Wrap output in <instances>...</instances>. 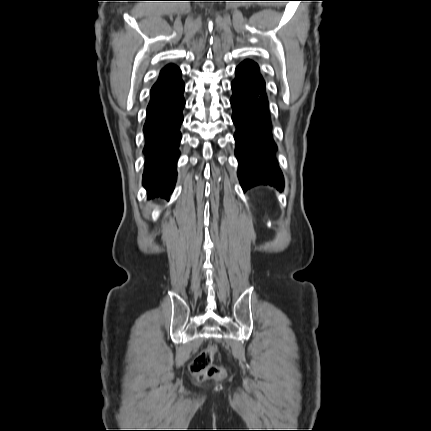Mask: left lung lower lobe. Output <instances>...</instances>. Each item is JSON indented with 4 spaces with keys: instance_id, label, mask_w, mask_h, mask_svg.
<instances>
[{
    "instance_id": "left-lung-lower-lobe-1",
    "label": "left lung lower lobe",
    "mask_w": 431,
    "mask_h": 431,
    "mask_svg": "<svg viewBox=\"0 0 431 431\" xmlns=\"http://www.w3.org/2000/svg\"><path fill=\"white\" fill-rule=\"evenodd\" d=\"M232 90L235 155L239 161L240 184L244 191L256 185H270L282 191L284 178L276 158L277 146L272 138L265 81L255 62L247 60L236 68Z\"/></svg>"
}]
</instances>
